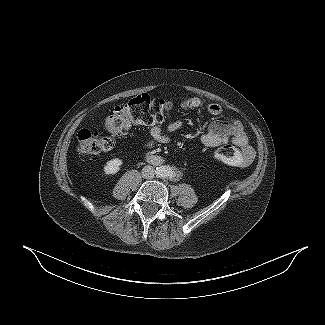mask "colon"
<instances>
[{
	"label": "colon",
	"mask_w": 325,
	"mask_h": 325,
	"mask_svg": "<svg viewBox=\"0 0 325 325\" xmlns=\"http://www.w3.org/2000/svg\"><path fill=\"white\" fill-rule=\"evenodd\" d=\"M171 110L170 101L148 94L138 95L113 109L104 121L103 131L81 129L77 134V151L82 156H88L110 150L116 139L126 134L132 126L160 124ZM213 156L227 165H245L244 154L231 145L217 148Z\"/></svg>",
	"instance_id": "1"
}]
</instances>
